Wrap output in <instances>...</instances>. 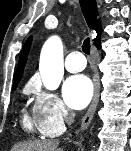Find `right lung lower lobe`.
Segmentation results:
<instances>
[{
    "label": "right lung lower lobe",
    "instance_id": "1",
    "mask_svg": "<svg viewBox=\"0 0 131 151\" xmlns=\"http://www.w3.org/2000/svg\"><path fill=\"white\" fill-rule=\"evenodd\" d=\"M95 46H96L98 49H100V48H101V44H100V43L95 44Z\"/></svg>",
    "mask_w": 131,
    "mask_h": 151
}]
</instances>
